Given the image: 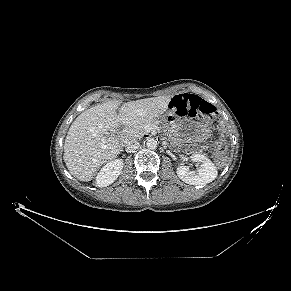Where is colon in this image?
Instances as JSON below:
<instances>
[{"label": "colon", "mask_w": 291, "mask_h": 291, "mask_svg": "<svg viewBox=\"0 0 291 291\" xmlns=\"http://www.w3.org/2000/svg\"><path fill=\"white\" fill-rule=\"evenodd\" d=\"M170 107L179 116L205 117L211 120L218 116L216 107L198 96L177 95L172 99ZM213 151L217 166L222 167L227 160V143L223 139L217 140Z\"/></svg>", "instance_id": "1"}]
</instances>
